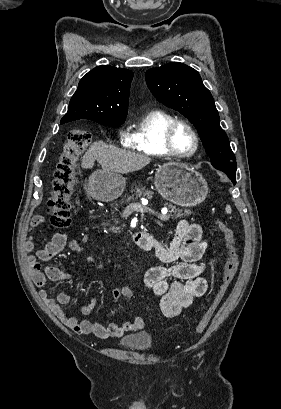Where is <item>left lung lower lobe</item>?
Masks as SVG:
<instances>
[{
  "label": "left lung lower lobe",
  "instance_id": "obj_1",
  "mask_svg": "<svg viewBox=\"0 0 281 409\" xmlns=\"http://www.w3.org/2000/svg\"><path fill=\"white\" fill-rule=\"evenodd\" d=\"M223 171L224 173L227 174V176L231 179L233 184H236V170H231V169H218Z\"/></svg>",
  "mask_w": 281,
  "mask_h": 409
}]
</instances>
